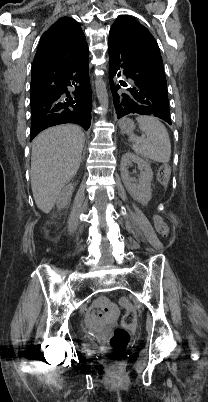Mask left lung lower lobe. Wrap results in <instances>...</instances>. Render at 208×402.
I'll return each instance as SVG.
<instances>
[{
    "label": "left lung lower lobe",
    "instance_id": "obj_1",
    "mask_svg": "<svg viewBox=\"0 0 208 402\" xmlns=\"http://www.w3.org/2000/svg\"><path fill=\"white\" fill-rule=\"evenodd\" d=\"M108 51L109 81L117 118L132 113L152 115L171 125L167 91L143 79L134 71V44L115 30H111ZM121 73L127 80L115 84V76H120Z\"/></svg>",
    "mask_w": 208,
    "mask_h": 402
}]
</instances>
